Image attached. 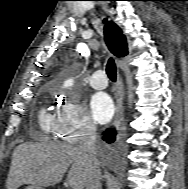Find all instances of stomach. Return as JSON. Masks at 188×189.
<instances>
[{
  "label": "stomach",
  "mask_w": 188,
  "mask_h": 189,
  "mask_svg": "<svg viewBox=\"0 0 188 189\" xmlns=\"http://www.w3.org/2000/svg\"><path fill=\"white\" fill-rule=\"evenodd\" d=\"M25 189H36V187H34V186H28Z\"/></svg>",
  "instance_id": "1"
}]
</instances>
